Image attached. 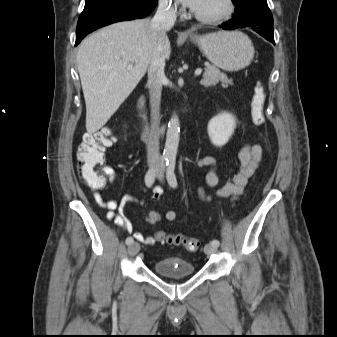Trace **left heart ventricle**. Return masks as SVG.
Here are the masks:
<instances>
[{
    "label": "left heart ventricle",
    "mask_w": 337,
    "mask_h": 337,
    "mask_svg": "<svg viewBox=\"0 0 337 337\" xmlns=\"http://www.w3.org/2000/svg\"><path fill=\"white\" fill-rule=\"evenodd\" d=\"M224 8L223 0H202L195 11L200 14L214 15L220 13Z\"/></svg>",
    "instance_id": "1"
}]
</instances>
